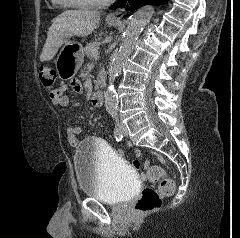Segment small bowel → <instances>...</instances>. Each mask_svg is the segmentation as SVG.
Returning <instances> with one entry per match:
<instances>
[{
    "label": "small bowel",
    "mask_w": 240,
    "mask_h": 238,
    "mask_svg": "<svg viewBox=\"0 0 240 238\" xmlns=\"http://www.w3.org/2000/svg\"><path fill=\"white\" fill-rule=\"evenodd\" d=\"M70 87L77 93L82 92V85L78 80H72ZM69 90V85L63 84L58 88L52 90L50 92V100L54 106L57 107H66L69 104V98L66 95ZM82 128L80 126H69L66 130L67 133V141L71 146H76L79 142L78 135L81 133ZM129 148H137V143H129ZM126 149H119V154H126ZM134 159H131V167H134L136 171H146V167L149 166V162H145L144 166H142L141 159L139 156H143V151L136 150L134 151Z\"/></svg>",
    "instance_id": "small-bowel-1"
}]
</instances>
